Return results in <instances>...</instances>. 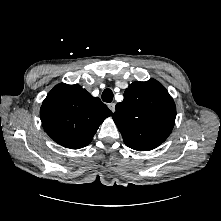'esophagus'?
Wrapping results in <instances>:
<instances>
[{
	"label": "esophagus",
	"instance_id": "obj_1",
	"mask_svg": "<svg viewBox=\"0 0 221 221\" xmlns=\"http://www.w3.org/2000/svg\"><path fill=\"white\" fill-rule=\"evenodd\" d=\"M109 109L114 112L115 111V103H109L108 104Z\"/></svg>",
	"mask_w": 221,
	"mask_h": 221
}]
</instances>
